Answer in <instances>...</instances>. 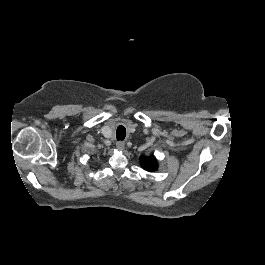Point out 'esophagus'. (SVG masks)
<instances>
[{"instance_id": "esophagus-1", "label": "esophagus", "mask_w": 265, "mask_h": 265, "mask_svg": "<svg viewBox=\"0 0 265 265\" xmlns=\"http://www.w3.org/2000/svg\"><path fill=\"white\" fill-rule=\"evenodd\" d=\"M116 148L118 150H123L124 149V142L123 141H118L116 144Z\"/></svg>"}]
</instances>
